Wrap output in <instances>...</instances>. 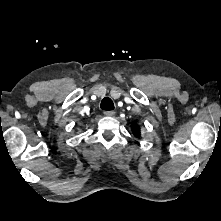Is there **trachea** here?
<instances>
[{
    "mask_svg": "<svg viewBox=\"0 0 221 221\" xmlns=\"http://www.w3.org/2000/svg\"><path fill=\"white\" fill-rule=\"evenodd\" d=\"M102 110L111 111L114 109L113 101L109 97H105L100 105Z\"/></svg>",
    "mask_w": 221,
    "mask_h": 221,
    "instance_id": "1",
    "label": "trachea"
}]
</instances>
